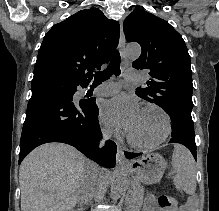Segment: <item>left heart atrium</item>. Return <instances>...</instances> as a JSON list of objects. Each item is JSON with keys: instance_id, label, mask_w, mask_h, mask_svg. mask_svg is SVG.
Listing matches in <instances>:
<instances>
[{"instance_id": "left-heart-atrium-1", "label": "left heart atrium", "mask_w": 219, "mask_h": 211, "mask_svg": "<svg viewBox=\"0 0 219 211\" xmlns=\"http://www.w3.org/2000/svg\"><path fill=\"white\" fill-rule=\"evenodd\" d=\"M140 112L139 103L134 97L120 94L102 104L100 115L106 125L129 132L136 124Z\"/></svg>"}]
</instances>
